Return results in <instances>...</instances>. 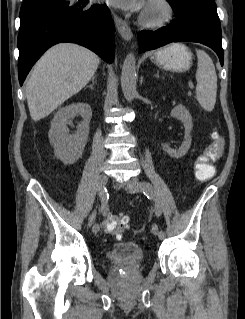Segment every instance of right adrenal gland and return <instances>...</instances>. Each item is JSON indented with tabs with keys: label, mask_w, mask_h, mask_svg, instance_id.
<instances>
[{
	"label": "right adrenal gland",
	"mask_w": 245,
	"mask_h": 319,
	"mask_svg": "<svg viewBox=\"0 0 245 319\" xmlns=\"http://www.w3.org/2000/svg\"><path fill=\"white\" fill-rule=\"evenodd\" d=\"M95 78H96V76H94V77L92 78V84L89 85V88H91V89H94L93 86H94V83H95Z\"/></svg>",
	"instance_id": "2a0ac1e0"
}]
</instances>
